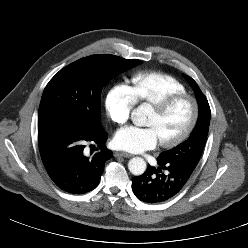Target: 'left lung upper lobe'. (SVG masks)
Segmentation results:
<instances>
[{
	"label": "left lung upper lobe",
	"instance_id": "left-lung-upper-lobe-1",
	"mask_svg": "<svg viewBox=\"0 0 248 248\" xmlns=\"http://www.w3.org/2000/svg\"><path fill=\"white\" fill-rule=\"evenodd\" d=\"M187 79L195 90L199 104V118L197 124L186 141L171 150L162 152L158 159L164 162L190 163L197 165L205 147L211 111L208 101L197 83L189 76H187Z\"/></svg>",
	"mask_w": 248,
	"mask_h": 248
}]
</instances>
